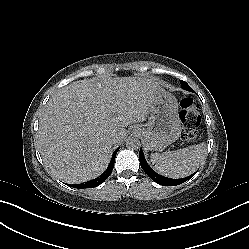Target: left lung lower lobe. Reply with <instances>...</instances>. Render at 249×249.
<instances>
[{"instance_id": "obj_1", "label": "left lung lower lobe", "mask_w": 249, "mask_h": 249, "mask_svg": "<svg viewBox=\"0 0 249 249\" xmlns=\"http://www.w3.org/2000/svg\"><path fill=\"white\" fill-rule=\"evenodd\" d=\"M139 160H140V164H141V167L142 169L144 170V172L153 180L155 181L156 183L160 184V185H163V186H171V185H179L185 181H187V179H189L190 177L192 176H189L185 179H178V180H175V179H169V178H166V177H163L157 173H155L147 164L146 160L144 159V156H143V152H142V149H140V152H139Z\"/></svg>"}]
</instances>
